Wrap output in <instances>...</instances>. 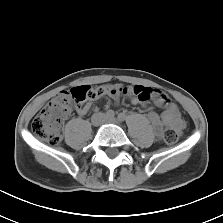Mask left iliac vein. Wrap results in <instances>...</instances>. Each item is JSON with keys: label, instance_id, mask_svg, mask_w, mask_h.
Here are the masks:
<instances>
[{"label": "left iliac vein", "instance_id": "4c4485c4", "mask_svg": "<svg viewBox=\"0 0 223 223\" xmlns=\"http://www.w3.org/2000/svg\"><path fill=\"white\" fill-rule=\"evenodd\" d=\"M105 123L119 125L120 122L115 117H112V118H106Z\"/></svg>", "mask_w": 223, "mask_h": 223}]
</instances>
